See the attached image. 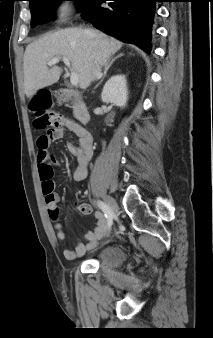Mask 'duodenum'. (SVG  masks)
<instances>
[{
	"label": "duodenum",
	"instance_id": "duodenum-1",
	"mask_svg": "<svg viewBox=\"0 0 213 338\" xmlns=\"http://www.w3.org/2000/svg\"><path fill=\"white\" fill-rule=\"evenodd\" d=\"M59 95L68 97L73 101V110L77 120L84 124L88 125L91 121V115L86 107V105L79 100L78 95L72 90H63Z\"/></svg>",
	"mask_w": 213,
	"mask_h": 338
}]
</instances>
